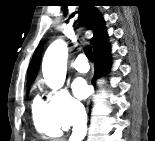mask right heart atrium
<instances>
[{
  "instance_id": "1",
  "label": "right heart atrium",
  "mask_w": 155,
  "mask_h": 141,
  "mask_svg": "<svg viewBox=\"0 0 155 141\" xmlns=\"http://www.w3.org/2000/svg\"><path fill=\"white\" fill-rule=\"evenodd\" d=\"M48 104L61 129H69L85 118L83 105L65 89L52 91L48 96Z\"/></svg>"
}]
</instances>
